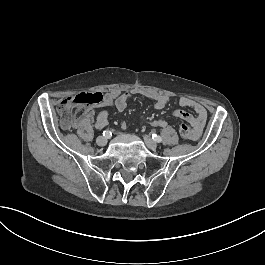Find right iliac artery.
Instances as JSON below:
<instances>
[{"instance_id": "right-iliac-artery-1", "label": "right iliac artery", "mask_w": 265, "mask_h": 265, "mask_svg": "<svg viewBox=\"0 0 265 265\" xmlns=\"http://www.w3.org/2000/svg\"><path fill=\"white\" fill-rule=\"evenodd\" d=\"M111 132L110 131H104L103 132V136L106 137V138H110L111 137Z\"/></svg>"}]
</instances>
